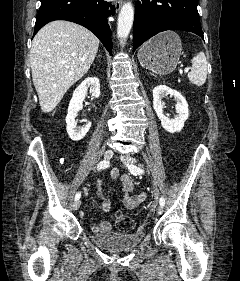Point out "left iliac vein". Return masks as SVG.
<instances>
[{
  "label": "left iliac vein",
  "instance_id": "obj_1",
  "mask_svg": "<svg viewBox=\"0 0 240 281\" xmlns=\"http://www.w3.org/2000/svg\"><path fill=\"white\" fill-rule=\"evenodd\" d=\"M120 159L126 165H133L135 163V159L132 158L131 156H128V155L120 156ZM156 212H157L158 215H161L163 213V207L161 205H159L156 208Z\"/></svg>",
  "mask_w": 240,
  "mask_h": 281
}]
</instances>
